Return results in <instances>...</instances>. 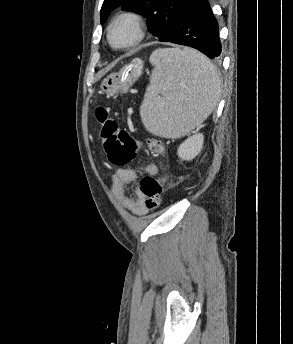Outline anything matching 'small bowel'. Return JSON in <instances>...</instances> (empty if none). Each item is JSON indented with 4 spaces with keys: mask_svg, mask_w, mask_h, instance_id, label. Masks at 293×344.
Returning <instances> with one entry per match:
<instances>
[{
    "mask_svg": "<svg viewBox=\"0 0 293 344\" xmlns=\"http://www.w3.org/2000/svg\"><path fill=\"white\" fill-rule=\"evenodd\" d=\"M138 171L144 172L149 175H157L158 168L153 163H142L138 167L120 169L116 171L115 176L118 179L119 183L123 187H126L135 183ZM119 200L126 209L134 214L144 215L147 211L144 206L145 197L139 190V188L134 189L133 195H127L124 191H121L119 193Z\"/></svg>",
    "mask_w": 293,
    "mask_h": 344,
    "instance_id": "obj_1",
    "label": "small bowel"
}]
</instances>
